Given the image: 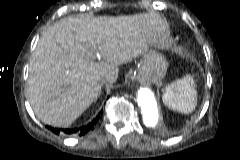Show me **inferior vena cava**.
Returning <instances> with one entry per match:
<instances>
[{
	"label": "inferior vena cava",
	"instance_id": "inferior-vena-cava-1",
	"mask_svg": "<svg viewBox=\"0 0 240 160\" xmlns=\"http://www.w3.org/2000/svg\"><path fill=\"white\" fill-rule=\"evenodd\" d=\"M108 81H110L109 77H105V78L102 79L103 83L108 82Z\"/></svg>",
	"mask_w": 240,
	"mask_h": 160
}]
</instances>
